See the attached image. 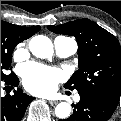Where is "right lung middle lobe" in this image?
<instances>
[{
	"instance_id": "right-lung-middle-lobe-1",
	"label": "right lung middle lobe",
	"mask_w": 121,
	"mask_h": 121,
	"mask_svg": "<svg viewBox=\"0 0 121 121\" xmlns=\"http://www.w3.org/2000/svg\"><path fill=\"white\" fill-rule=\"evenodd\" d=\"M25 39L20 27L1 20V81L10 75H6L5 70L10 68L15 46Z\"/></svg>"
}]
</instances>
